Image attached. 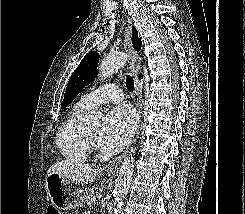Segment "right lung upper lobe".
Masks as SVG:
<instances>
[{"label": "right lung upper lobe", "mask_w": 245, "mask_h": 214, "mask_svg": "<svg viewBox=\"0 0 245 214\" xmlns=\"http://www.w3.org/2000/svg\"><path fill=\"white\" fill-rule=\"evenodd\" d=\"M132 42H133L134 49L140 50L141 41L138 39V33L134 27L132 28Z\"/></svg>", "instance_id": "obj_1"}]
</instances>
